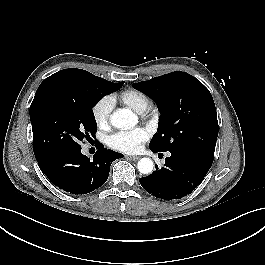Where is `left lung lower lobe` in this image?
Returning <instances> with one entry per match:
<instances>
[{
	"label": "left lung lower lobe",
	"mask_w": 265,
	"mask_h": 265,
	"mask_svg": "<svg viewBox=\"0 0 265 265\" xmlns=\"http://www.w3.org/2000/svg\"><path fill=\"white\" fill-rule=\"evenodd\" d=\"M154 153L159 151L152 150ZM213 161L193 152H171L164 167L140 178L141 186L164 200L180 199L192 192L204 179Z\"/></svg>",
	"instance_id": "0a47b994"
}]
</instances>
